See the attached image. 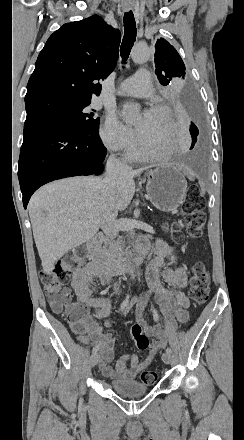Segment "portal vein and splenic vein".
<instances>
[{
    "mask_svg": "<svg viewBox=\"0 0 244 440\" xmlns=\"http://www.w3.org/2000/svg\"><path fill=\"white\" fill-rule=\"evenodd\" d=\"M74 224H76V226H78V224H80L79 220H75Z\"/></svg>",
    "mask_w": 244,
    "mask_h": 440,
    "instance_id": "1",
    "label": "portal vein and splenic vein"
}]
</instances>
